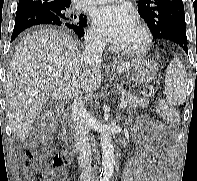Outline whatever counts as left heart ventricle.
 <instances>
[{
	"label": "left heart ventricle",
	"mask_w": 197,
	"mask_h": 181,
	"mask_svg": "<svg viewBox=\"0 0 197 181\" xmlns=\"http://www.w3.org/2000/svg\"><path fill=\"white\" fill-rule=\"evenodd\" d=\"M141 38H142L141 32L134 23L131 29L117 43L118 45L124 46V47H134V46H137L141 42Z\"/></svg>",
	"instance_id": "left-heart-ventricle-1"
}]
</instances>
